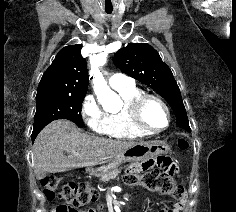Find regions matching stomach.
Instances as JSON below:
<instances>
[{
    "mask_svg": "<svg viewBox=\"0 0 236 212\" xmlns=\"http://www.w3.org/2000/svg\"><path fill=\"white\" fill-rule=\"evenodd\" d=\"M169 147L159 141L140 142L123 153L114 155L87 168L94 176H102L116 169L124 162L145 161L161 154L167 153Z\"/></svg>",
    "mask_w": 236,
    "mask_h": 212,
    "instance_id": "1",
    "label": "stomach"
}]
</instances>
